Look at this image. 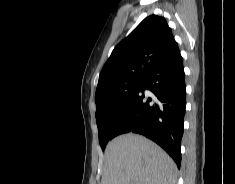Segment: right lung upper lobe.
<instances>
[{
    "instance_id": "right-lung-upper-lobe-1",
    "label": "right lung upper lobe",
    "mask_w": 235,
    "mask_h": 184,
    "mask_svg": "<svg viewBox=\"0 0 235 184\" xmlns=\"http://www.w3.org/2000/svg\"><path fill=\"white\" fill-rule=\"evenodd\" d=\"M179 50L166 19L145 18L112 51L104 65L95 94L96 107L105 103L109 89L144 77Z\"/></svg>"
}]
</instances>
